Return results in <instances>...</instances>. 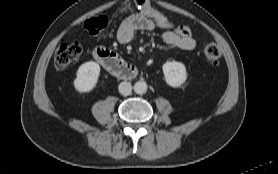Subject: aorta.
Returning a JSON list of instances; mask_svg holds the SVG:
<instances>
[{"label": "aorta", "instance_id": "762f6f07", "mask_svg": "<svg viewBox=\"0 0 278 174\" xmlns=\"http://www.w3.org/2000/svg\"><path fill=\"white\" fill-rule=\"evenodd\" d=\"M147 83L145 81H138L134 84V91L137 94H144L147 91Z\"/></svg>", "mask_w": 278, "mask_h": 174}]
</instances>
